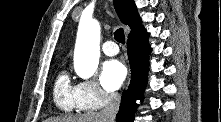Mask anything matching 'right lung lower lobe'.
Here are the masks:
<instances>
[{"label": "right lung lower lobe", "mask_w": 221, "mask_h": 122, "mask_svg": "<svg viewBox=\"0 0 221 122\" xmlns=\"http://www.w3.org/2000/svg\"><path fill=\"white\" fill-rule=\"evenodd\" d=\"M148 33L144 28L128 35L127 53L132 72V78L127 91L121 98V105L116 115L117 122H133L137 108L136 100L142 99L147 83L148 55L151 51L148 45Z\"/></svg>", "instance_id": "right-lung-lower-lobe-1"}]
</instances>
